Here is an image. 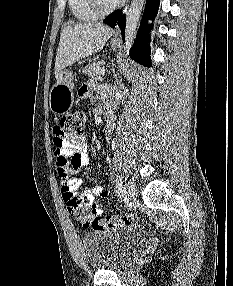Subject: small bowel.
<instances>
[{
  "label": "small bowel",
  "instance_id": "c3829d8e",
  "mask_svg": "<svg viewBox=\"0 0 233 286\" xmlns=\"http://www.w3.org/2000/svg\"><path fill=\"white\" fill-rule=\"evenodd\" d=\"M96 87L87 83L84 84L79 92L82 98L90 97ZM106 97V92L101 93ZM54 169L61 184V193L64 202L66 196L71 193L80 198L82 203L87 206L96 208L100 214L104 207V199L109 196V191L103 186H95L83 192H79L81 180L78 174L89 164L88 145L83 136L71 134H60L54 129ZM82 227H86L79 221Z\"/></svg>",
  "mask_w": 233,
  "mask_h": 286
}]
</instances>
